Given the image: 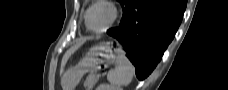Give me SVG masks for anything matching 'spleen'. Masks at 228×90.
Masks as SVG:
<instances>
[{"label": "spleen", "mask_w": 228, "mask_h": 90, "mask_svg": "<svg viewBox=\"0 0 228 90\" xmlns=\"http://www.w3.org/2000/svg\"><path fill=\"white\" fill-rule=\"evenodd\" d=\"M135 68L125 56V52L119 48L117 51L115 68L107 74V80L115 86L127 85L132 81Z\"/></svg>", "instance_id": "obj_1"}]
</instances>
